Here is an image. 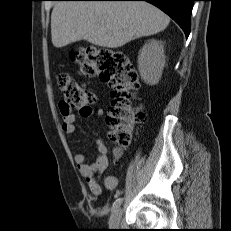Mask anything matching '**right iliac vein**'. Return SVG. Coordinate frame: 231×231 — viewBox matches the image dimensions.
<instances>
[{"label": "right iliac vein", "mask_w": 231, "mask_h": 231, "mask_svg": "<svg viewBox=\"0 0 231 231\" xmlns=\"http://www.w3.org/2000/svg\"><path fill=\"white\" fill-rule=\"evenodd\" d=\"M122 216V210L120 207H118L111 215L109 220V227L116 229L119 227L120 219Z\"/></svg>", "instance_id": "1"}]
</instances>
